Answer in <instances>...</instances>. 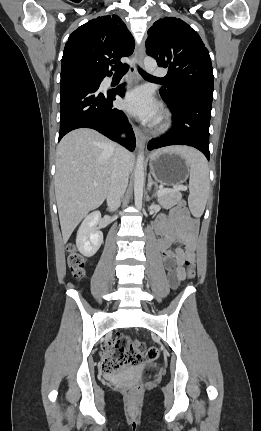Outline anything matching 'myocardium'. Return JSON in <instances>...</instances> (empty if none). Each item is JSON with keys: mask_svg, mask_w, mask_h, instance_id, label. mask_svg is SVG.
I'll list each match as a JSON object with an SVG mask.
<instances>
[{"mask_svg": "<svg viewBox=\"0 0 261 431\" xmlns=\"http://www.w3.org/2000/svg\"><path fill=\"white\" fill-rule=\"evenodd\" d=\"M169 126H170L169 118L167 116H163L161 121H160V124L158 126V130L159 131H165L169 128Z\"/></svg>", "mask_w": 261, "mask_h": 431, "instance_id": "obj_1", "label": "myocardium"}]
</instances>
